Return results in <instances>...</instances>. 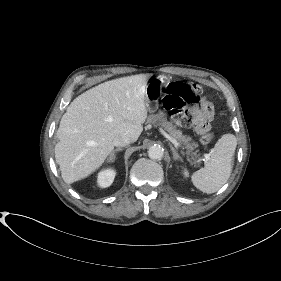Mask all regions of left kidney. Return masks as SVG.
Wrapping results in <instances>:
<instances>
[{
    "label": "left kidney",
    "instance_id": "obj_1",
    "mask_svg": "<svg viewBox=\"0 0 281 281\" xmlns=\"http://www.w3.org/2000/svg\"><path fill=\"white\" fill-rule=\"evenodd\" d=\"M183 173H184V176H185V177H188L189 173H188V171H187V170H184V172H183Z\"/></svg>",
    "mask_w": 281,
    "mask_h": 281
}]
</instances>
